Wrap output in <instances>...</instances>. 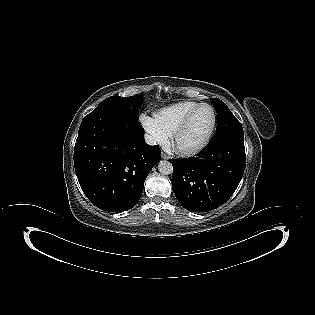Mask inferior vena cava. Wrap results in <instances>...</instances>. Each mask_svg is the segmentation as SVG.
I'll return each mask as SVG.
<instances>
[{
    "mask_svg": "<svg viewBox=\"0 0 315 315\" xmlns=\"http://www.w3.org/2000/svg\"><path fill=\"white\" fill-rule=\"evenodd\" d=\"M145 141L149 144V145H155L156 144V140L149 134H145L144 136Z\"/></svg>",
    "mask_w": 315,
    "mask_h": 315,
    "instance_id": "1",
    "label": "inferior vena cava"
}]
</instances>
